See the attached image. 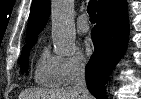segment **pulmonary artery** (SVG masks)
<instances>
[{"label": "pulmonary artery", "mask_w": 141, "mask_h": 99, "mask_svg": "<svg viewBox=\"0 0 141 99\" xmlns=\"http://www.w3.org/2000/svg\"><path fill=\"white\" fill-rule=\"evenodd\" d=\"M77 28L82 32H87L90 28L87 16L85 14H82L77 19Z\"/></svg>", "instance_id": "pulmonary-artery-1"}]
</instances>
